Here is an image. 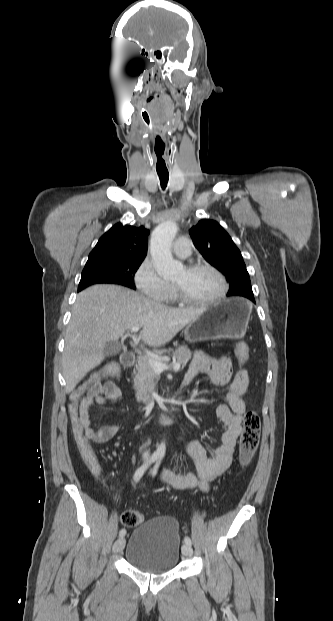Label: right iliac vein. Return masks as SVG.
I'll list each match as a JSON object with an SVG mask.
<instances>
[{
  "label": "right iliac vein",
  "mask_w": 333,
  "mask_h": 621,
  "mask_svg": "<svg viewBox=\"0 0 333 621\" xmlns=\"http://www.w3.org/2000/svg\"><path fill=\"white\" fill-rule=\"evenodd\" d=\"M124 546H125V539L121 537L118 540H116V542L114 543L113 552L114 553L121 552L124 549Z\"/></svg>",
  "instance_id": "1"
}]
</instances>
